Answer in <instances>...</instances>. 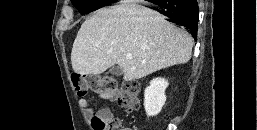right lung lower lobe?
<instances>
[{
	"instance_id": "obj_1",
	"label": "right lung lower lobe",
	"mask_w": 257,
	"mask_h": 130,
	"mask_svg": "<svg viewBox=\"0 0 257 130\" xmlns=\"http://www.w3.org/2000/svg\"><path fill=\"white\" fill-rule=\"evenodd\" d=\"M157 5L163 8L162 14L168 17V21L189 29L192 36L197 38L199 18L197 0L160 1Z\"/></svg>"
}]
</instances>
